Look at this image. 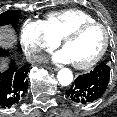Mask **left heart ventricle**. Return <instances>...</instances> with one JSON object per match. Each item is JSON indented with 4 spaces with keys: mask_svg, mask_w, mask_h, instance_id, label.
Listing matches in <instances>:
<instances>
[{
    "mask_svg": "<svg viewBox=\"0 0 117 117\" xmlns=\"http://www.w3.org/2000/svg\"><path fill=\"white\" fill-rule=\"evenodd\" d=\"M105 40L104 32L99 27H92L78 38L66 43L64 49L74 63H86L101 50Z\"/></svg>",
    "mask_w": 117,
    "mask_h": 117,
    "instance_id": "obj_1",
    "label": "left heart ventricle"
}]
</instances>
